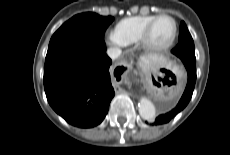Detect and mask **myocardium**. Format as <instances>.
<instances>
[{"instance_id": "obj_1", "label": "myocardium", "mask_w": 230, "mask_h": 155, "mask_svg": "<svg viewBox=\"0 0 230 155\" xmlns=\"http://www.w3.org/2000/svg\"><path fill=\"white\" fill-rule=\"evenodd\" d=\"M162 18H168L173 22V25H174L173 33H172L170 40L167 43H165L163 45H155L150 40L151 31H152L154 24ZM177 33H178V25H177L176 20L171 15L160 14V15H157L146 26V28L144 29L142 36L140 38V43H141L142 47L148 52L161 53V52L168 50L174 44L176 37H177Z\"/></svg>"}]
</instances>
